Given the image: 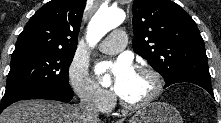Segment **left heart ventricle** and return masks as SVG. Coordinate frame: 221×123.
Listing matches in <instances>:
<instances>
[{"label": "left heart ventricle", "instance_id": "obj_1", "mask_svg": "<svg viewBox=\"0 0 221 123\" xmlns=\"http://www.w3.org/2000/svg\"><path fill=\"white\" fill-rule=\"evenodd\" d=\"M153 86L154 83L151 77L135 71L119 95L127 102L138 103L150 95Z\"/></svg>", "mask_w": 221, "mask_h": 123}]
</instances>
